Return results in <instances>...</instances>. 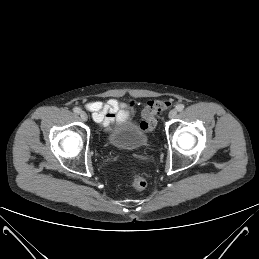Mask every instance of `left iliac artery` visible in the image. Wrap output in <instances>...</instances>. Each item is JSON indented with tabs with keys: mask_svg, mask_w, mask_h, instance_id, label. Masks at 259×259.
Wrapping results in <instances>:
<instances>
[{
	"mask_svg": "<svg viewBox=\"0 0 259 259\" xmlns=\"http://www.w3.org/2000/svg\"><path fill=\"white\" fill-rule=\"evenodd\" d=\"M176 109H177V111L181 112L184 109V105L183 104H178L176 106Z\"/></svg>",
	"mask_w": 259,
	"mask_h": 259,
	"instance_id": "1",
	"label": "left iliac artery"
}]
</instances>
